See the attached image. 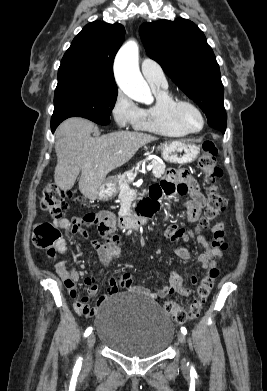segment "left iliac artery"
I'll list each match as a JSON object with an SVG mask.
<instances>
[{
  "mask_svg": "<svg viewBox=\"0 0 267 391\" xmlns=\"http://www.w3.org/2000/svg\"><path fill=\"white\" fill-rule=\"evenodd\" d=\"M181 332H182L183 334H186V333H187L186 328H185V327H181Z\"/></svg>",
  "mask_w": 267,
  "mask_h": 391,
  "instance_id": "1",
  "label": "left iliac artery"
}]
</instances>
